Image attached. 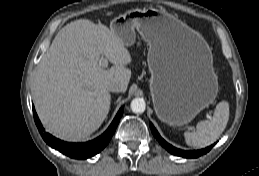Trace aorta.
I'll return each mask as SVG.
<instances>
[{
	"instance_id": "1",
	"label": "aorta",
	"mask_w": 259,
	"mask_h": 176,
	"mask_svg": "<svg viewBox=\"0 0 259 176\" xmlns=\"http://www.w3.org/2000/svg\"><path fill=\"white\" fill-rule=\"evenodd\" d=\"M130 108L136 114L143 113L146 109L145 101L142 98H135L131 101Z\"/></svg>"
}]
</instances>
